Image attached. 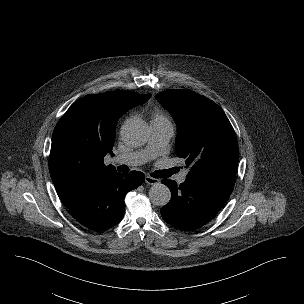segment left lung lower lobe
Wrapping results in <instances>:
<instances>
[{"label":"left lung lower lobe","instance_id":"0a47b994","mask_svg":"<svg viewBox=\"0 0 304 304\" xmlns=\"http://www.w3.org/2000/svg\"><path fill=\"white\" fill-rule=\"evenodd\" d=\"M162 183L172 193L170 202L161 209L162 218L184 231L198 229L212 220L229 197L186 181L179 186L170 179Z\"/></svg>","mask_w":304,"mask_h":304}]
</instances>
